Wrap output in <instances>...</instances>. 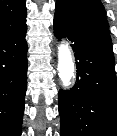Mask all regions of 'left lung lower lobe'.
Masks as SVG:
<instances>
[{"mask_svg": "<svg viewBox=\"0 0 117 136\" xmlns=\"http://www.w3.org/2000/svg\"><path fill=\"white\" fill-rule=\"evenodd\" d=\"M54 35L73 43L77 66L75 86L59 91L61 136H117V80L109 33L54 16Z\"/></svg>", "mask_w": 117, "mask_h": 136, "instance_id": "1", "label": "left lung lower lobe"}]
</instances>
